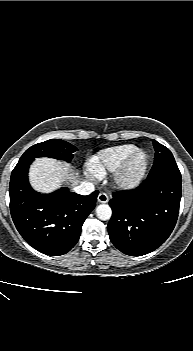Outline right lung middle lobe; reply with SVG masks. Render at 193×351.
I'll use <instances>...</instances> for the list:
<instances>
[{
  "mask_svg": "<svg viewBox=\"0 0 193 351\" xmlns=\"http://www.w3.org/2000/svg\"><path fill=\"white\" fill-rule=\"evenodd\" d=\"M77 148L61 139H51L31 146L21 158L51 157L70 162Z\"/></svg>",
  "mask_w": 193,
  "mask_h": 351,
  "instance_id": "dd1d6c3e",
  "label": "right lung middle lobe"
}]
</instances>
